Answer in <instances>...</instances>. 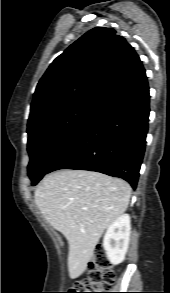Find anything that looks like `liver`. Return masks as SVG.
Segmentation results:
<instances>
[{"label": "liver", "mask_w": 170, "mask_h": 293, "mask_svg": "<svg viewBox=\"0 0 170 293\" xmlns=\"http://www.w3.org/2000/svg\"><path fill=\"white\" fill-rule=\"evenodd\" d=\"M130 185L119 178L85 170H59L35 190L40 212L68 241L71 279L86 269L106 228L127 209Z\"/></svg>", "instance_id": "1"}]
</instances>
